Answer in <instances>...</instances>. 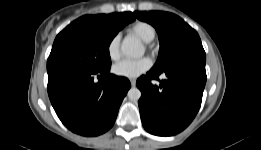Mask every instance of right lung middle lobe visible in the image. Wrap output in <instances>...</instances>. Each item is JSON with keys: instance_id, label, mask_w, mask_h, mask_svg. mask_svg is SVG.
<instances>
[{"instance_id": "1", "label": "right lung middle lobe", "mask_w": 261, "mask_h": 150, "mask_svg": "<svg viewBox=\"0 0 261 150\" xmlns=\"http://www.w3.org/2000/svg\"><path fill=\"white\" fill-rule=\"evenodd\" d=\"M131 20L123 17L85 15L56 37L47 60V72L76 69L100 72L111 67L109 45Z\"/></svg>"}]
</instances>
